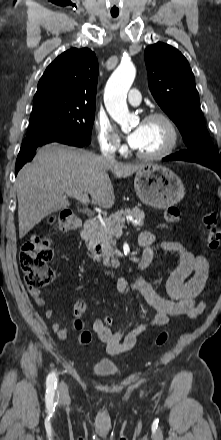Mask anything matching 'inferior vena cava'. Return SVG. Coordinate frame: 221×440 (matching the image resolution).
<instances>
[{"label": "inferior vena cava", "instance_id": "602c4592", "mask_svg": "<svg viewBox=\"0 0 221 440\" xmlns=\"http://www.w3.org/2000/svg\"><path fill=\"white\" fill-rule=\"evenodd\" d=\"M103 157L110 161V162H114L115 161V154L110 151V152H103Z\"/></svg>", "mask_w": 221, "mask_h": 440}]
</instances>
